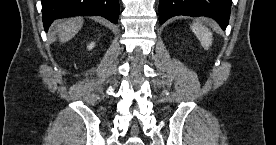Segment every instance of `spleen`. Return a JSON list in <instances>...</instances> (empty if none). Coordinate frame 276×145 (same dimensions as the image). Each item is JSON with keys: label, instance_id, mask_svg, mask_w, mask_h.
<instances>
[{"label": "spleen", "instance_id": "3e777b00", "mask_svg": "<svg viewBox=\"0 0 276 145\" xmlns=\"http://www.w3.org/2000/svg\"><path fill=\"white\" fill-rule=\"evenodd\" d=\"M192 31L195 33L196 37L199 39L202 47L208 50L212 45V32L200 23H193L191 26Z\"/></svg>", "mask_w": 276, "mask_h": 145}]
</instances>
